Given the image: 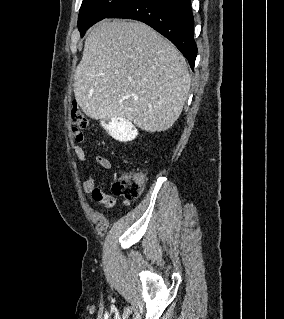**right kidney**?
<instances>
[{
    "instance_id": "right-kidney-1",
    "label": "right kidney",
    "mask_w": 284,
    "mask_h": 319,
    "mask_svg": "<svg viewBox=\"0 0 284 319\" xmlns=\"http://www.w3.org/2000/svg\"><path fill=\"white\" fill-rule=\"evenodd\" d=\"M105 128L113 138L123 142L131 141L138 135L137 130L133 129L132 123L123 118L113 119L105 125Z\"/></svg>"
}]
</instances>
